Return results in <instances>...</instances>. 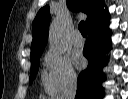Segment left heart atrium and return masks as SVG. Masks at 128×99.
I'll use <instances>...</instances> for the list:
<instances>
[{"mask_svg": "<svg viewBox=\"0 0 128 99\" xmlns=\"http://www.w3.org/2000/svg\"><path fill=\"white\" fill-rule=\"evenodd\" d=\"M75 62H76V65L79 68H83L84 65H85V59L82 56H76L75 57Z\"/></svg>", "mask_w": 128, "mask_h": 99, "instance_id": "left-heart-atrium-1", "label": "left heart atrium"}]
</instances>
